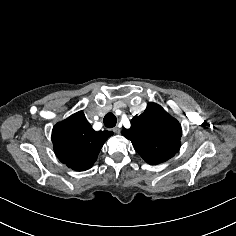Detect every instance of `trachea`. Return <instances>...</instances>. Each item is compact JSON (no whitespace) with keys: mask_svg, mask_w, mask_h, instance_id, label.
Masks as SVG:
<instances>
[{"mask_svg":"<svg viewBox=\"0 0 236 236\" xmlns=\"http://www.w3.org/2000/svg\"><path fill=\"white\" fill-rule=\"evenodd\" d=\"M103 121L107 128H113L117 124V118L112 112L107 113Z\"/></svg>","mask_w":236,"mask_h":236,"instance_id":"trachea-1","label":"trachea"}]
</instances>
